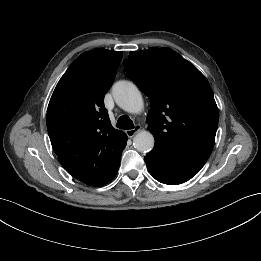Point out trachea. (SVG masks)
Masks as SVG:
<instances>
[{
  "mask_svg": "<svg viewBox=\"0 0 261 261\" xmlns=\"http://www.w3.org/2000/svg\"><path fill=\"white\" fill-rule=\"evenodd\" d=\"M117 127L124 130L133 129L134 124L133 121L128 116L123 115L119 117V119L117 120Z\"/></svg>",
  "mask_w": 261,
  "mask_h": 261,
  "instance_id": "3493384b",
  "label": "trachea"
}]
</instances>
